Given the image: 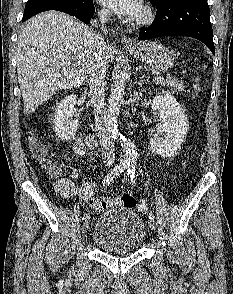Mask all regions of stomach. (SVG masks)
Wrapping results in <instances>:
<instances>
[{"label":"stomach","instance_id":"0dacf381","mask_svg":"<svg viewBox=\"0 0 233 294\" xmlns=\"http://www.w3.org/2000/svg\"><path fill=\"white\" fill-rule=\"evenodd\" d=\"M139 61L145 62L158 71H167L173 66V53L157 42H145L129 50Z\"/></svg>","mask_w":233,"mask_h":294}]
</instances>
